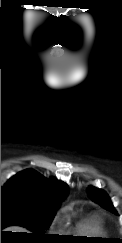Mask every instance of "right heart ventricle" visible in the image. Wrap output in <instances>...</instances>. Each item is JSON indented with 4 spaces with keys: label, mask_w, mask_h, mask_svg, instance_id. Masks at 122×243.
<instances>
[{
    "label": "right heart ventricle",
    "mask_w": 122,
    "mask_h": 243,
    "mask_svg": "<svg viewBox=\"0 0 122 243\" xmlns=\"http://www.w3.org/2000/svg\"><path fill=\"white\" fill-rule=\"evenodd\" d=\"M76 232L84 235L96 236L104 234L102 223L95 217H85L79 221Z\"/></svg>",
    "instance_id": "obj_1"
}]
</instances>
